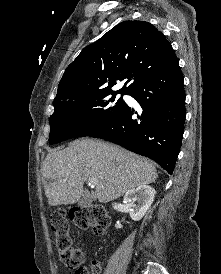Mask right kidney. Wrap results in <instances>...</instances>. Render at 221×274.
Masks as SVG:
<instances>
[{"label":"right kidney","instance_id":"right-kidney-1","mask_svg":"<svg viewBox=\"0 0 221 274\" xmlns=\"http://www.w3.org/2000/svg\"><path fill=\"white\" fill-rule=\"evenodd\" d=\"M155 194L156 191L148 185H140L126 192L124 203L132 220L139 221L146 214L154 201Z\"/></svg>","mask_w":221,"mask_h":274}]
</instances>
